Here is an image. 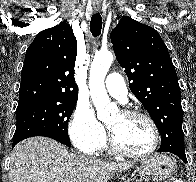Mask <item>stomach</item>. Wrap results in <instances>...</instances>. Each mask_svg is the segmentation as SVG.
Returning a JSON list of instances; mask_svg holds the SVG:
<instances>
[{
  "instance_id": "0dacf381",
  "label": "stomach",
  "mask_w": 196,
  "mask_h": 182,
  "mask_svg": "<svg viewBox=\"0 0 196 182\" xmlns=\"http://www.w3.org/2000/svg\"><path fill=\"white\" fill-rule=\"evenodd\" d=\"M138 170L151 182L167 179L174 171V162L164 154H154L141 162Z\"/></svg>"
}]
</instances>
